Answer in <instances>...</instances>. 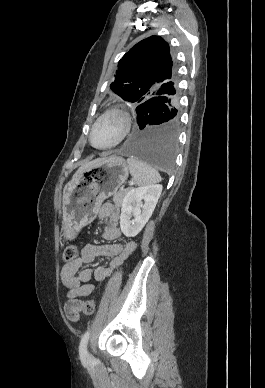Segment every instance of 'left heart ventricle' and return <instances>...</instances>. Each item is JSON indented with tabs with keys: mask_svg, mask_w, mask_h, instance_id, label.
<instances>
[{
	"mask_svg": "<svg viewBox=\"0 0 265 388\" xmlns=\"http://www.w3.org/2000/svg\"><path fill=\"white\" fill-rule=\"evenodd\" d=\"M120 126V119L115 115L104 118L95 128L93 142L102 146L114 142Z\"/></svg>",
	"mask_w": 265,
	"mask_h": 388,
	"instance_id": "left-heart-ventricle-1",
	"label": "left heart ventricle"
}]
</instances>
